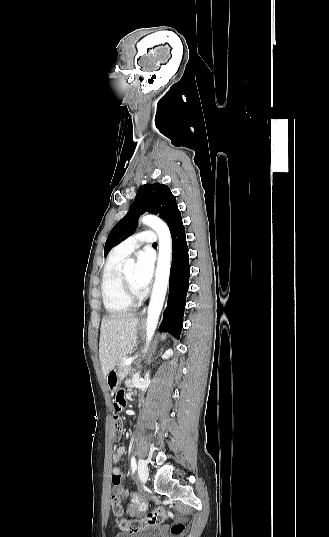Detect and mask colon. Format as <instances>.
<instances>
[{"label": "colon", "instance_id": "colon-1", "mask_svg": "<svg viewBox=\"0 0 329 537\" xmlns=\"http://www.w3.org/2000/svg\"><path fill=\"white\" fill-rule=\"evenodd\" d=\"M118 395V394H117ZM115 405V404H114ZM126 405V402H125ZM123 433V422L120 417L115 416L113 421V437L118 440ZM111 510L114 516L118 519L117 531L120 534L128 533L137 535L142 529L159 525L166 518V512L164 509H155L148 512L143 518L140 519H124L123 516V505L121 499L117 495H112L111 497ZM186 526L183 522L179 521L172 525L171 534L173 536L179 537L184 534Z\"/></svg>", "mask_w": 329, "mask_h": 537}]
</instances>
